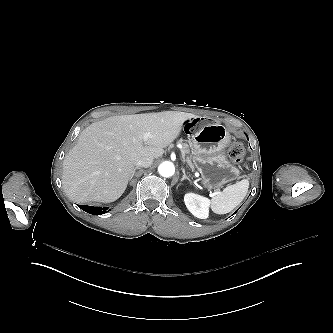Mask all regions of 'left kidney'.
<instances>
[{
  "label": "left kidney",
  "mask_w": 333,
  "mask_h": 333,
  "mask_svg": "<svg viewBox=\"0 0 333 333\" xmlns=\"http://www.w3.org/2000/svg\"><path fill=\"white\" fill-rule=\"evenodd\" d=\"M184 203L187 209L197 218L206 219L209 216L210 200L195 193H186Z\"/></svg>",
  "instance_id": "1"
}]
</instances>
